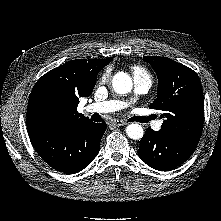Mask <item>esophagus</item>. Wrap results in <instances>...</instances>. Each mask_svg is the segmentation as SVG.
Here are the masks:
<instances>
[{
  "mask_svg": "<svg viewBox=\"0 0 221 221\" xmlns=\"http://www.w3.org/2000/svg\"><path fill=\"white\" fill-rule=\"evenodd\" d=\"M126 124H127L126 121L120 120V119H117V120L113 121V125H115V126H123V125H126Z\"/></svg>",
  "mask_w": 221,
  "mask_h": 221,
  "instance_id": "esophagus-1",
  "label": "esophagus"
}]
</instances>
